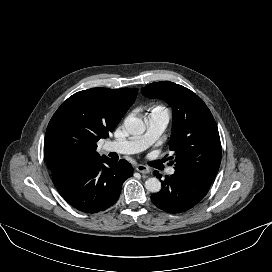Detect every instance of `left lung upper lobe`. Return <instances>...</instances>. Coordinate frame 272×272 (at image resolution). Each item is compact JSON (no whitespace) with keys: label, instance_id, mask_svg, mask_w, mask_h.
Masks as SVG:
<instances>
[{"label":"left lung upper lobe","instance_id":"5c2ea615","mask_svg":"<svg viewBox=\"0 0 272 272\" xmlns=\"http://www.w3.org/2000/svg\"><path fill=\"white\" fill-rule=\"evenodd\" d=\"M142 94L150 98L166 99L173 110V127L169 159L175 169L215 179L221 162V143L213 116L191 90L170 81L149 84Z\"/></svg>","mask_w":272,"mask_h":272}]
</instances>
